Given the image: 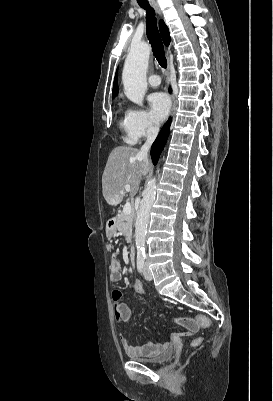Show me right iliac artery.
Wrapping results in <instances>:
<instances>
[{"instance_id":"82829eb1","label":"right iliac artery","mask_w":273,"mask_h":401,"mask_svg":"<svg viewBox=\"0 0 273 401\" xmlns=\"http://www.w3.org/2000/svg\"><path fill=\"white\" fill-rule=\"evenodd\" d=\"M144 258H137V269L139 272L143 271Z\"/></svg>"}]
</instances>
